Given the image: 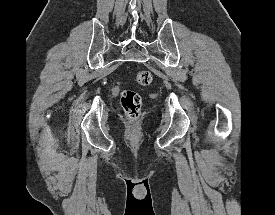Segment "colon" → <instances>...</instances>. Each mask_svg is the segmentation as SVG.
<instances>
[{
	"label": "colon",
	"instance_id": "colon-1",
	"mask_svg": "<svg viewBox=\"0 0 275 215\" xmlns=\"http://www.w3.org/2000/svg\"><path fill=\"white\" fill-rule=\"evenodd\" d=\"M152 73L148 70H139L136 73V82L141 86H147L152 82ZM121 104L127 117L135 121L138 119L141 111L142 100L140 95L132 90L127 89L121 93Z\"/></svg>",
	"mask_w": 275,
	"mask_h": 215
}]
</instances>
